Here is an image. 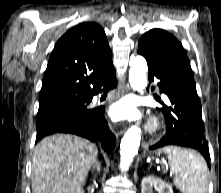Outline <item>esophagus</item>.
Instances as JSON below:
<instances>
[{
    "label": "esophagus",
    "instance_id": "obj_1",
    "mask_svg": "<svg viewBox=\"0 0 221 193\" xmlns=\"http://www.w3.org/2000/svg\"><path fill=\"white\" fill-rule=\"evenodd\" d=\"M130 90L129 86H126L125 88H123L121 90V94L123 95L125 92H128ZM131 125V124H130ZM116 130V129H115ZM120 130H124V129H120Z\"/></svg>",
    "mask_w": 221,
    "mask_h": 193
}]
</instances>
